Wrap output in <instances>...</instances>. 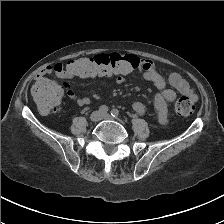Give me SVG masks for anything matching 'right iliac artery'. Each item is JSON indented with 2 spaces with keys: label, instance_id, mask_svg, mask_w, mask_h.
Masks as SVG:
<instances>
[{
  "label": "right iliac artery",
  "instance_id": "obj_1",
  "mask_svg": "<svg viewBox=\"0 0 224 224\" xmlns=\"http://www.w3.org/2000/svg\"><path fill=\"white\" fill-rule=\"evenodd\" d=\"M99 112L101 114H106L108 112V107L106 105H102L99 107Z\"/></svg>",
  "mask_w": 224,
  "mask_h": 224
}]
</instances>
